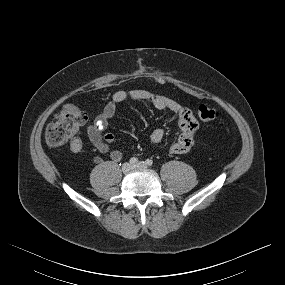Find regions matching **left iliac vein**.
I'll return each mask as SVG.
<instances>
[{"instance_id":"1","label":"left iliac vein","mask_w":285,"mask_h":285,"mask_svg":"<svg viewBox=\"0 0 285 285\" xmlns=\"http://www.w3.org/2000/svg\"><path fill=\"white\" fill-rule=\"evenodd\" d=\"M146 168H147V166L143 162H139V163L132 166V169H146Z\"/></svg>"}]
</instances>
